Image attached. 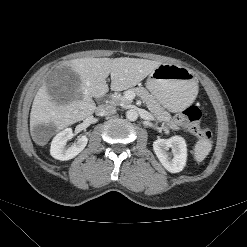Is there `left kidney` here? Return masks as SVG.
I'll return each mask as SVG.
<instances>
[{"instance_id": "left-kidney-1", "label": "left kidney", "mask_w": 247, "mask_h": 247, "mask_svg": "<svg viewBox=\"0 0 247 247\" xmlns=\"http://www.w3.org/2000/svg\"><path fill=\"white\" fill-rule=\"evenodd\" d=\"M153 149L167 171L177 173L185 167L187 146L184 138L173 136L169 139H158L153 143ZM169 149L171 152H168Z\"/></svg>"}]
</instances>
